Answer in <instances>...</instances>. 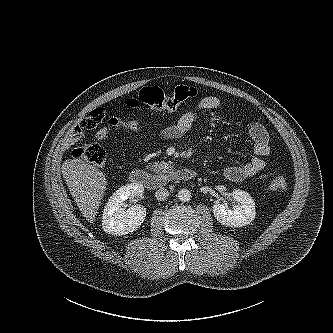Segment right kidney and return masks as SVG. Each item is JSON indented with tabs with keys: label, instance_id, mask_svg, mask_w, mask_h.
<instances>
[{
	"label": "right kidney",
	"instance_id": "1",
	"mask_svg": "<svg viewBox=\"0 0 333 333\" xmlns=\"http://www.w3.org/2000/svg\"><path fill=\"white\" fill-rule=\"evenodd\" d=\"M144 187L141 184H127L116 190L106 204L102 226L106 233L122 236L137 230L144 222L146 208L137 205L124 208V201L136 195L142 194Z\"/></svg>",
	"mask_w": 333,
	"mask_h": 333
}]
</instances>
